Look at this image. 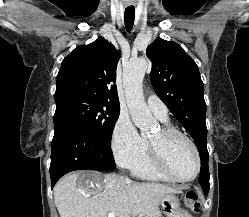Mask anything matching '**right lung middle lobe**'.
<instances>
[{"instance_id": "right-lung-middle-lobe-1", "label": "right lung middle lobe", "mask_w": 249, "mask_h": 217, "mask_svg": "<svg viewBox=\"0 0 249 217\" xmlns=\"http://www.w3.org/2000/svg\"><path fill=\"white\" fill-rule=\"evenodd\" d=\"M55 102L54 117L69 118L89 135L111 146L112 132L120 114V105L76 93L55 96Z\"/></svg>"}]
</instances>
